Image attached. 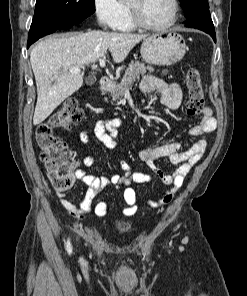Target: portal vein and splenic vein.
<instances>
[{
	"mask_svg": "<svg viewBox=\"0 0 247 296\" xmlns=\"http://www.w3.org/2000/svg\"><path fill=\"white\" fill-rule=\"evenodd\" d=\"M99 64H100V67H105V59H103V58L99 59ZM70 71L72 73H79L81 70L78 68H73Z\"/></svg>",
	"mask_w": 247,
	"mask_h": 296,
	"instance_id": "portal-vein-and-splenic-vein-1",
	"label": "portal vein and splenic vein"
}]
</instances>
